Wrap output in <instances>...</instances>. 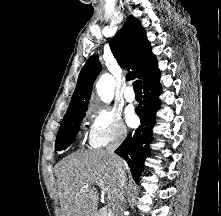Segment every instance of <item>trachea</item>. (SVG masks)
<instances>
[{
    "label": "trachea",
    "instance_id": "trachea-1",
    "mask_svg": "<svg viewBox=\"0 0 221 216\" xmlns=\"http://www.w3.org/2000/svg\"><path fill=\"white\" fill-rule=\"evenodd\" d=\"M133 88H134L135 93H142V82H141V80H136L133 83Z\"/></svg>",
    "mask_w": 221,
    "mask_h": 216
}]
</instances>
